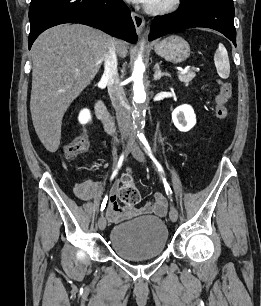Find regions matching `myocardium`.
Here are the masks:
<instances>
[{
	"mask_svg": "<svg viewBox=\"0 0 261 306\" xmlns=\"http://www.w3.org/2000/svg\"><path fill=\"white\" fill-rule=\"evenodd\" d=\"M180 4L181 0H165L159 4L149 2L146 5V10L151 14H167L175 11L180 6Z\"/></svg>",
	"mask_w": 261,
	"mask_h": 306,
	"instance_id": "1",
	"label": "myocardium"
}]
</instances>
